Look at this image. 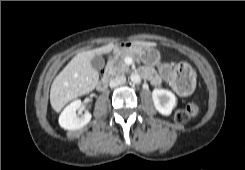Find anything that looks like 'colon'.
I'll use <instances>...</instances> for the list:
<instances>
[{"mask_svg": "<svg viewBox=\"0 0 245 170\" xmlns=\"http://www.w3.org/2000/svg\"><path fill=\"white\" fill-rule=\"evenodd\" d=\"M185 70V64H178L173 70V76L171 82L173 84H180L184 81L183 72ZM199 104L192 101L187 104L186 108L177 109L174 113L175 121L179 124L186 123L191 117L198 115Z\"/></svg>", "mask_w": 245, "mask_h": 170, "instance_id": "1", "label": "colon"}]
</instances>
